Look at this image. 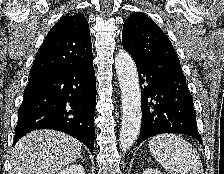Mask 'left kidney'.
Segmentation results:
<instances>
[{
    "label": "left kidney",
    "mask_w": 224,
    "mask_h": 174,
    "mask_svg": "<svg viewBox=\"0 0 224 174\" xmlns=\"http://www.w3.org/2000/svg\"><path fill=\"white\" fill-rule=\"evenodd\" d=\"M143 174H162L160 171H158L157 169H153V168H147Z\"/></svg>",
    "instance_id": "obj_1"
}]
</instances>
